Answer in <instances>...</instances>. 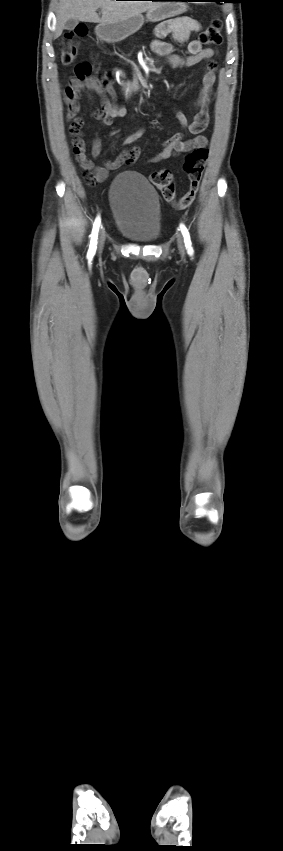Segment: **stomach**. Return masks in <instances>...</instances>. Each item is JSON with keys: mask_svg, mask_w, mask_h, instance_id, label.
Returning a JSON list of instances; mask_svg holds the SVG:
<instances>
[{"mask_svg": "<svg viewBox=\"0 0 283 851\" xmlns=\"http://www.w3.org/2000/svg\"><path fill=\"white\" fill-rule=\"evenodd\" d=\"M187 5L184 0H171L162 2L157 7L147 11L146 18L151 22H158L166 18L174 17L184 13ZM144 23V17L139 14L117 23H100L96 29V35L106 42H119L129 35L138 31Z\"/></svg>", "mask_w": 283, "mask_h": 851, "instance_id": "1", "label": "stomach"}]
</instances>
